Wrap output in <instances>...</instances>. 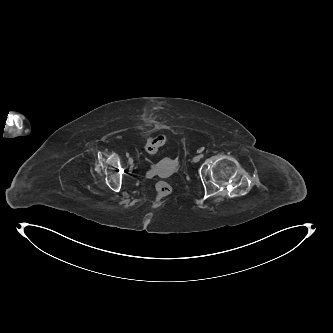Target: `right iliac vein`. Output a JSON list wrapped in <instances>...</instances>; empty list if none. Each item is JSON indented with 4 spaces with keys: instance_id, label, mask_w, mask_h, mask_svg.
Wrapping results in <instances>:
<instances>
[{
    "instance_id": "obj_1",
    "label": "right iliac vein",
    "mask_w": 333,
    "mask_h": 333,
    "mask_svg": "<svg viewBox=\"0 0 333 333\" xmlns=\"http://www.w3.org/2000/svg\"><path fill=\"white\" fill-rule=\"evenodd\" d=\"M128 162H129L130 165H132L133 164V158L129 157Z\"/></svg>"
}]
</instances>
